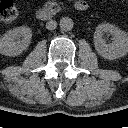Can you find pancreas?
Returning a JSON list of instances; mask_svg holds the SVG:
<instances>
[{
  "mask_svg": "<svg viewBox=\"0 0 128 128\" xmlns=\"http://www.w3.org/2000/svg\"><path fill=\"white\" fill-rule=\"evenodd\" d=\"M47 5H48L49 8L56 7L54 9V12L60 11V7H59V5L56 2L49 1V2H47Z\"/></svg>",
  "mask_w": 128,
  "mask_h": 128,
  "instance_id": "obj_1",
  "label": "pancreas"
}]
</instances>
